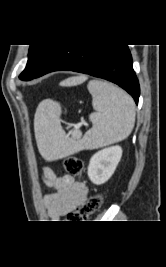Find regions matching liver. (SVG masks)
I'll list each match as a JSON object with an SVG mask.
<instances>
[{"label": "liver", "instance_id": "6515ba94", "mask_svg": "<svg viewBox=\"0 0 166 267\" xmlns=\"http://www.w3.org/2000/svg\"><path fill=\"white\" fill-rule=\"evenodd\" d=\"M85 80H86L85 76L71 77L61 82V85L67 87L75 86L83 83Z\"/></svg>", "mask_w": 166, "mask_h": 267}]
</instances>
